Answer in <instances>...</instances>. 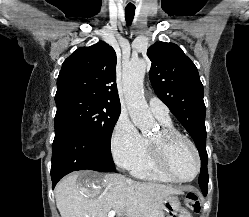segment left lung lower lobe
I'll return each mask as SVG.
<instances>
[{
  "instance_id": "left-lung-lower-lobe-1",
  "label": "left lung lower lobe",
  "mask_w": 249,
  "mask_h": 217,
  "mask_svg": "<svg viewBox=\"0 0 249 217\" xmlns=\"http://www.w3.org/2000/svg\"><path fill=\"white\" fill-rule=\"evenodd\" d=\"M199 184H200L203 194L206 196L207 191H208V172H207V168L205 167L201 168V172L199 176Z\"/></svg>"
}]
</instances>
